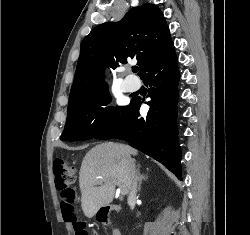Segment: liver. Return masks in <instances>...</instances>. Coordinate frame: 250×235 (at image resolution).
<instances>
[{"instance_id":"6515ba94","label":"liver","mask_w":250,"mask_h":235,"mask_svg":"<svg viewBox=\"0 0 250 235\" xmlns=\"http://www.w3.org/2000/svg\"><path fill=\"white\" fill-rule=\"evenodd\" d=\"M137 150L117 143H102L93 147L84 157L80 173L81 206L92 218L114 198L115 186L129 193L130 168Z\"/></svg>"}]
</instances>
